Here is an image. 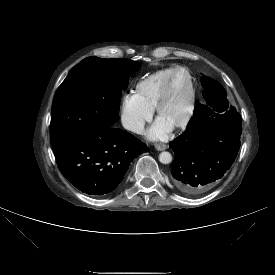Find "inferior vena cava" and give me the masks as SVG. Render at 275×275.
<instances>
[{"label": "inferior vena cava", "instance_id": "1", "mask_svg": "<svg viewBox=\"0 0 275 275\" xmlns=\"http://www.w3.org/2000/svg\"><path fill=\"white\" fill-rule=\"evenodd\" d=\"M123 126L137 134H141L144 130V123L142 121L124 120Z\"/></svg>", "mask_w": 275, "mask_h": 275}]
</instances>
